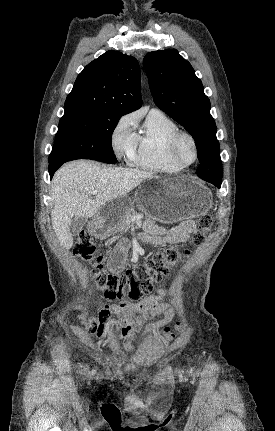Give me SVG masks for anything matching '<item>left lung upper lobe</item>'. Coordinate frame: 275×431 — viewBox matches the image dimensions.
<instances>
[{
	"mask_svg": "<svg viewBox=\"0 0 275 431\" xmlns=\"http://www.w3.org/2000/svg\"><path fill=\"white\" fill-rule=\"evenodd\" d=\"M143 64L156 105L181 124L195 140L200 160L197 175L214 173L222 178L210 100L190 63L177 50L168 49L148 53Z\"/></svg>",
	"mask_w": 275,
	"mask_h": 431,
	"instance_id": "1",
	"label": "left lung upper lobe"
}]
</instances>
